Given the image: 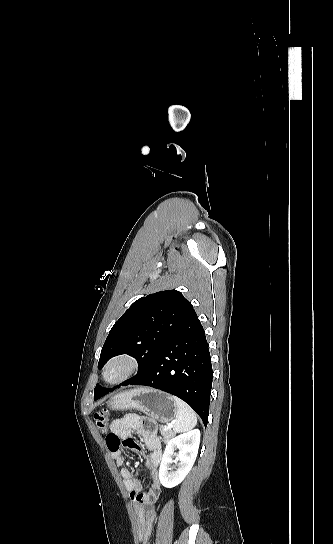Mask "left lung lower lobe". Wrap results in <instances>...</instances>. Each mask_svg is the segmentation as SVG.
Here are the masks:
<instances>
[{"instance_id":"0a47b994","label":"left lung lower lobe","mask_w":333,"mask_h":544,"mask_svg":"<svg viewBox=\"0 0 333 544\" xmlns=\"http://www.w3.org/2000/svg\"><path fill=\"white\" fill-rule=\"evenodd\" d=\"M212 365L204 329L194 309L164 343L146 371L126 385H145L175 395L208 422ZM101 392L94 397L104 396Z\"/></svg>"}]
</instances>
